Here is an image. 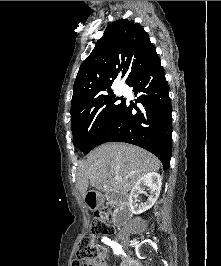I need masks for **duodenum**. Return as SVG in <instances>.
<instances>
[{
    "mask_svg": "<svg viewBox=\"0 0 221 266\" xmlns=\"http://www.w3.org/2000/svg\"><path fill=\"white\" fill-rule=\"evenodd\" d=\"M110 199L117 205L113 222L116 226L124 225L132 216L131 199L128 195L111 192ZM101 194H97V189L86 191L85 203L87 206H100Z\"/></svg>",
    "mask_w": 221,
    "mask_h": 266,
    "instance_id": "1",
    "label": "duodenum"
}]
</instances>
